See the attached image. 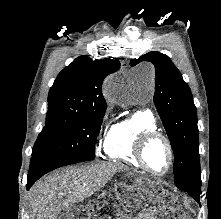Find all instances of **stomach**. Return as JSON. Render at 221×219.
Segmentation results:
<instances>
[{"mask_svg":"<svg viewBox=\"0 0 221 219\" xmlns=\"http://www.w3.org/2000/svg\"><path fill=\"white\" fill-rule=\"evenodd\" d=\"M141 183H150L154 190H147L146 199L150 204H159V199H171L170 190H164L162 185L154 178H141Z\"/></svg>","mask_w":221,"mask_h":219,"instance_id":"0dacf381","label":"stomach"}]
</instances>
